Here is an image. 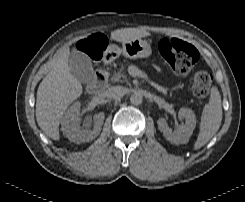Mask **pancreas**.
<instances>
[{
  "mask_svg": "<svg viewBox=\"0 0 245 202\" xmlns=\"http://www.w3.org/2000/svg\"><path fill=\"white\" fill-rule=\"evenodd\" d=\"M124 69L125 67L122 66L117 72H115L111 77V81L118 82V81H122V79L126 80V74Z\"/></svg>",
  "mask_w": 245,
  "mask_h": 202,
  "instance_id": "cf45deb5",
  "label": "pancreas"
}]
</instances>
